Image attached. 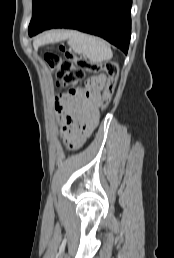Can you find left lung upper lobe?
I'll return each instance as SVG.
<instances>
[{
  "mask_svg": "<svg viewBox=\"0 0 174 258\" xmlns=\"http://www.w3.org/2000/svg\"><path fill=\"white\" fill-rule=\"evenodd\" d=\"M58 0H33V15L29 24V33L37 29Z\"/></svg>",
  "mask_w": 174,
  "mask_h": 258,
  "instance_id": "5c2ea615",
  "label": "left lung upper lobe"
}]
</instances>
